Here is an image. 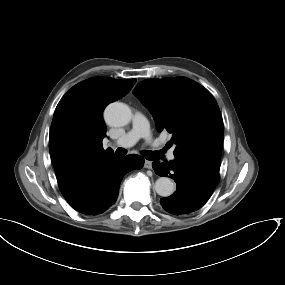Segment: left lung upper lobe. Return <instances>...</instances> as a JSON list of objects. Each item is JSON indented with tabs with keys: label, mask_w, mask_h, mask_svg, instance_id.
Listing matches in <instances>:
<instances>
[{
	"label": "left lung upper lobe",
	"mask_w": 285,
	"mask_h": 285,
	"mask_svg": "<svg viewBox=\"0 0 285 285\" xmlns=\"http://www.w3.org/2000/svg\"><path fill=\"white\" fill-rule=\"evenodd\" d=\"M133 94L148 108L158 131L167 130L176 143V158L220 166L223 120L212 94L185 78L147 79Z\"/></svg>",
	"instance_id": "5c2ea615"
}]
</instances>
